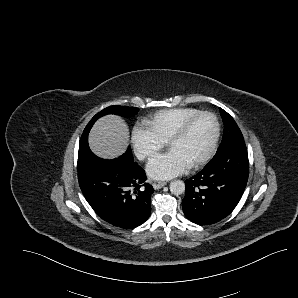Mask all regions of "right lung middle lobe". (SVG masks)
<instances>
[{
  "label": "right lung middle lobe",
  "mask_w": 298,
  "mask_h": 298,
  "mask_svg": "<svg viewBox=\"0 0 298 298\" xmlns=\"http://www.w3.org/2000/svg\"><path fill=\"white\" fill-rule=\"evenodd\" d=\"M138 108L136 107H128V106H109L99 113H97L91 121L88 123L86 128L84 129L81 139H80V144H79V153H78V160L83 161L86 159L87 156L90 155L91 151L88 146V133L92 127V125L95 123V121L107 114H117L123 117H131L137 114ZM125 154L131 155L132 156V151L131 148L129 147L126 151Z\"/></svg>",
  "instance_id": "obj_1"
}]
</instances>
